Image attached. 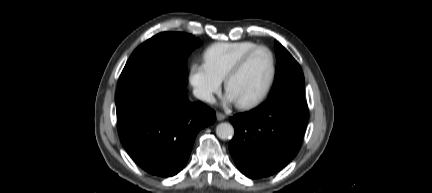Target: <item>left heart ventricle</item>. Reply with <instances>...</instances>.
<instances>
[{
  "instance_id": "1",
  "label": "left heart ventricle",
  "mask_w": 432,
  "mask_h": 193,
  "mask_svg": "<svg viewBox=\"0 0 432 193\" xmlns=\"http://www.w3.org/2000/svg\"><path fill=\"white\" fill-rule=\"evenodd\" d=\"M271 73V57L266 50L257 51L232 79L228 93L235 102L257 97L266 87Z\"/></svg>"
}]
</instances>
